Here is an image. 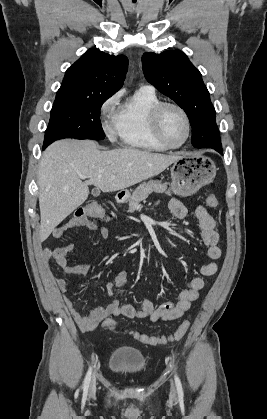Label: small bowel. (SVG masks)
<instances>
[{
  "instance_id": "1",
  "label": "small bowel",
  "mask_w": 267,
  "mask_h": 419,
  "mask_svg": "<svg viewBox=\"0 0 267 419\" xmlns=\"http://www.w3.org/2000/svg\"><path fill=\"white\" fill-rule=\"evenodd\" d=\"M171 214L177 219H184L188 214L187 206L178 199H172L169 203ZM195 216L201 228V238L207 247V257L210 262L203 264L199 268L200 276L190 279L180 294L176 303L166 302L159 307H155L152 301L144 300L139 309L129 304H120L119 299L114 297L106 306L98 307L90 311L88 315H82L75 307L74 302L64 295V302L69 309L76 324L82 331H91L96 328L104 319L109 316H125L128 318H145L151 323L168 322L183 316L190 308L191 303L199 298L200 291L206 286L204 277H210L216 274L218 264L216 260L221 257V249L218 246L219 236L215 230V221L206 208L202 205L194 207ZM86 228L97 233L101 238L107 239L109 231L107 228L99 225L94 219L71 218L63 225L58 227L53 236L61 239L66 233L78 229ZM73 249L71 243L63 244L56 248H46L42 252V258L45 264L54 262L62 269V275L55 278V283L62 294L67 291L66 275L82 274L86 275L89 268L86 266L69 265L67 254ZM128 273L125 270L119 271L112 280L106 283V291L110 297L118 288H122L127 281Z\"/></svg>"
}]
</instances>
